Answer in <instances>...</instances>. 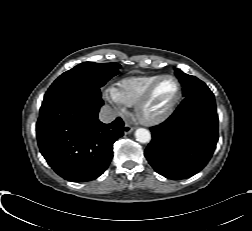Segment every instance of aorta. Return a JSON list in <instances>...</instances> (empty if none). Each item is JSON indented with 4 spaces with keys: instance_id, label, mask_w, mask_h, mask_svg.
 Returning <instances> with one entry per match:
<instances>
[{
    "instance_id": "aorta-1",
    "label": "aorta",
    "mask_w": 252,
    "mask_h": 231,
    "mask_svg": "<svg viewBox=\"0 0 252 231\" xmlns=\"http://www.w3.org/2000/svg\"><path fill=\"white\" fill-rule=\"evenodd\" d=\"M136 140L140 143H149L151 140V134L149 130L145 128H138L135 131Z\"/></svg>"
}]
</instances>
